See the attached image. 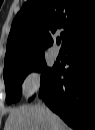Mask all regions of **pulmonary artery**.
<instances>
[{
  "label": "pulmonary artery",
  "mask_w": 95,
  "mask_h": 130,
  "mask_svg": "<svg viewBox=\"0 0 95 130\" xmlns=\"http://www.w3.org/2000/svg\"><path fill=\"white\" fill-rule=\"evenodd\" d=\"M50 54L52 57L56 58L59 55V49L57 46H52L50 49Z\"/></svg>",
  "instance_id": "e3ab8cb5"
}]
</instances>
